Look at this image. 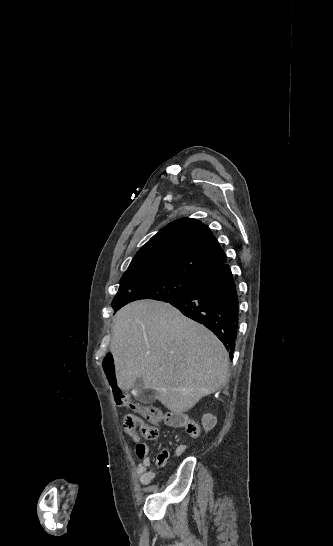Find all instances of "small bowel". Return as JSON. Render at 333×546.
<instances>
[{
	"label": "small bowel",
	"instance_id": "obj_1",
	"mask_svg": "<svg viewBox=\"0 0 333 546\" xmlns=\"http://www.w3.org/2000/svg\"><path fill=\"white\" fill-rule=\"evenodd\" d=\"M148 419L155 424H158L160 421H165L171 426H177L180 424V422L175 416L164 415L159 410H155V414L150 415ZM187 430L193 438H198L200 436L199 428L192 423L187 424ZM130 436L135 442V445H136L135 452L137 457L140 459V462L136 467L139 480L142 485H145V486L149 485L155 475L154 463L150 457L151 447L147 442L141 441L137 433H134ZM185 451H186V445L181 444L176 447L175 454L179 456V455H182ZM169 454H170V451L168 448L161 450L156 458L155 464L157 466H164L169 458Z\"/></svg>",
	"mask_w": 333,
	"mask_h": 546
}]
</instances>
